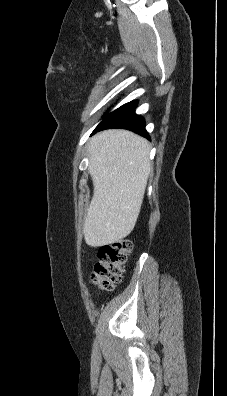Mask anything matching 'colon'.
<instances>
[{"label":"colon","instance_id":"1","mask_svg":"<svg viewBox=\"0 0 227 396\" xmlns=\"http://www.w3.org/2000/svg\"><path fill=\"white\" fill-rule=\"evenodd\" d=\"M131 251L132 242L127 239L101 246L91 274L92 281L102 290H112L122 280L123 266Z\"/></svg>","mask_w":227,"mask_h":396}]
</instances>
